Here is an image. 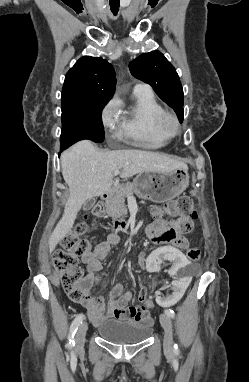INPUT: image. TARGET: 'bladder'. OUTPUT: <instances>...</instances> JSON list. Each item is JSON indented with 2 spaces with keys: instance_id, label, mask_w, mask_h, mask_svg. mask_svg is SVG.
Wrapping results in <instances>:
<instances>
[{
  "instance_id": "31cf9c89",
  "label": "bladder",
  "mask_w": 249,
  "mask_h": 382,
  "mask_svg": "<svg viewBox=\"0 0 249 382\" xmlns=\"http://www.w3.org/2000/svg\"><path fill=\"white\" fill-rule=\"evenodd\" d=\"M152 332L151 325L109 319L98 326L99 336L115 344H134L146 340Z\"/></svg>"
}]
</instances>
